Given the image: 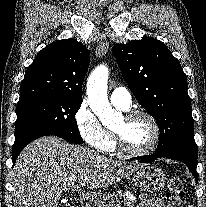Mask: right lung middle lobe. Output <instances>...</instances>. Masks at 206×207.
<instances>
[{"label": "right lung middle lobe", "mask_w": 206, "mask_h": 207, "mask_svg": "<svg viewBox=\"0 0 206 207\" xmlns=\"http://www.w3.org/2000/svg\"><path fill=\"white\" fill-rule=\"evenodd\" d=\"M82 100L41 95L19 100L13 150L47 135L82 144L75 114Z\"/></svg>", "instance_id": "obj_1"}]
</instances>
